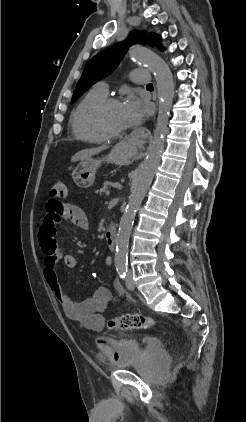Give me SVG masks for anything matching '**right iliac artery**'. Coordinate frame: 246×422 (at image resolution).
I'll use <instances>...</instances> for the list:
<instances>
[{
	"mask_svg": "<svg viewBox=\"0 0 246 422\" xmlns=\"http://www.w3.org/2000/svg\"><path fill=\"white\" fill-rule=\"evenodd\" d=\"M126 272H127V270H124V269L119 270L118 274H119L120 278L124 279L125 276H126Z\"/></svg>",
	"mask_w": 246,
	"mask_h": 422,
	"instance_id": "1",
	"label": "right iliac artery"
}]
</instances>
